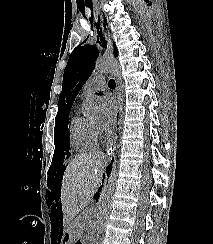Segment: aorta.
Wrapping results in <instances>:
<instances>
[{
  "label": "aorta",
  "mask_w": 213,
  "mask_h": 244,
  "mask_svg": "<svg viewBox=\"0 0 213 244\" xmlns=\"http://www.w3.org/2000/svg\"><path fill=\"white\" fill-rule=\"evenodd\" d=\"M95 70L99 73H111L120 75V65L112 57H103L96 61ZM104 111L102 99L96 95H90L85 101L84 113L88 117H98ZM117 165H113L108 182L105 184L95 209V242L101 244V239L105 232L106 221L112 206V198L116 187Z\"/></svg>",
  "instance_id": "aorta-1"
}]
</instances>
